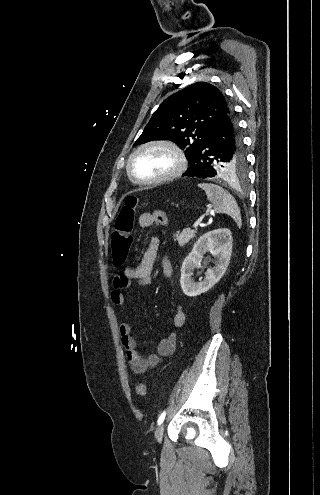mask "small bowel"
I'll return each mask as SVG.
<instances>
[{
    "instance_id": "c3829d8e",
    "label": "small bowel",
    "mask_w": 320,
    "mask_h": 495,
    "mask_svg": "<svg viewBox=\"0 0 320 495\" xmlns=\"http://www.w3.org/2000/svg\"><path fill=\"white\" fill-rule=\"evenodd\" d=\"M166 218L161 212L143 213L138 219L141 228H150L155 224L165 223ZM159 249V238L152 237L150 244L145 251L141 261L133 267H127L113 278L114 289L111 292V301L114 305L123 306L125 303L122 289L127 287L130 281L145 286L150 284L152 279L153 265ZM162 271L166 278L172 276L173 268L170 260L165 258L162 261ZM185 314L180 305L177 306L176 313L172 319V327L178 330L184 326ZM121 343L125 348L127 359L131 370L134 373L142 374L148 369L157 367L163 359L171 355L176 347V334L173 332L165 337H159L156 352L146 357H142L137 350V343L132 335L131 326L122 323L119 327Z\"/></svg>"
}]
</instances>
